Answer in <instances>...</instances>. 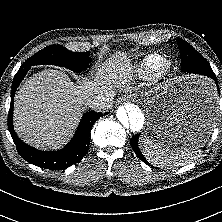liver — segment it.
Listing matches in <instances>:
<instances>
[{"label":"liver","instance_id":"liver-1","mask_svg":"<svg viewBox=\"0 0 222 222\" xmlns=\"http://www.w3.org/2000/svg\"><path fill=\"white\" fill-rule=\"evenodd\" d=\"M133 66L123 53L99 68L94 80L74 84L60 70H44L29 77L14 97V127L18 136L38 149H57L66 144L85 110L97 94L115 95L113 88L129 86Z\"/></svg>","mask_w":222,"mask_h":222}]
</instances>
